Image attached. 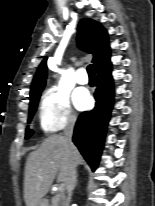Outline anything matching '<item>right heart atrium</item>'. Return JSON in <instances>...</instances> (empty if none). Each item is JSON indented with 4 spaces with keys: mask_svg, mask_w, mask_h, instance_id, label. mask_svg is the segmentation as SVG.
Returning a JSON list of instances; mask_svg holds the SVG:
<instances>
[{
    "mask_svg": "<svg viewBox=\"0 0 155 206\" xmlns=\"http://www.w3.org/2000/svg\"><path fill=\"white\" fill-rule=\"evenodd\" d=\"M39 119L45 133H52L74 125L76 116L68 94L57 86L48 88L40 103Z\"/></svg>",
    "mask_w": 155,
    "mask_h": 206,
    "instance_id": "obj_1",
    "label": "right heart atrium"
}]
</instances>
